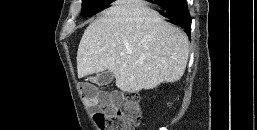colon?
<instances>
[{
    "label": "colon",
    "instance_id": "5ec220e1",
    "mask_svg": "<svg viewBox=\"0 0 257 130\" xmlns=\"http://www.w3.org/2000/svg\"><path fill=\"white\" fill-rule=\"evenodd\" d=\"M98 88L91 83H81L83 97L93 98ZM140 96L136 92L125 93L119 107L109 112H96L94 121L100 130H132L141 121Z\"/></svg>",
    "mask_w": 257,
    "mask_h": 130
}]
</instances>
